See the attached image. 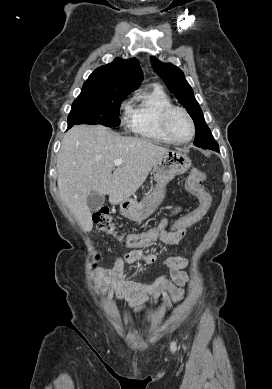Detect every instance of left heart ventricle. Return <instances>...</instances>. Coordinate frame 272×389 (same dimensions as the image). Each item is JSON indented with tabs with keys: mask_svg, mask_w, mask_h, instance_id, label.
I'll return each instance as SVG.
<instances>
[{
	"mask_svg": "<svg viewBox=\"0 0 272 389\" xmlns=\"http://www.w3.org/2000/svg\"><path fill=\"white\" fill-rule=\"evenodd\" d=\"M169 128L174 137L179 140L188 139L191 135V127L186 116L179 111H175L169 118Z\"/></svg>",
	"mask_w": 272,
	"mask_h": 389,
	"instance_id": "obj_1",
	"label": "left heart ventricle"
}]
</instances>
